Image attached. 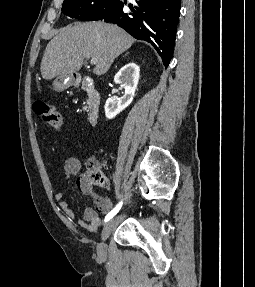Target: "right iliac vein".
<instances>
[{"instance_id":"63e3f726","label":"right iliac vein","mask_w":255,"mask_h":287,"mask_svg":"<svg viewBox=\"0 0 255 287\" xmlns=\"http://www.w3.org/2000/svg\"><path fill=\"white\" fill-rule=\"evenodd\" d=\"M114 219H111L110 221H108L104 227H103V230H102V234H101V243L98 245L97 247V254H98V257L100 259H105L106 256H107V245L105 243V241L107 240V238L110 236L111 232H112V229H113V226H114Z\"/></svg>"}]
</instances>
